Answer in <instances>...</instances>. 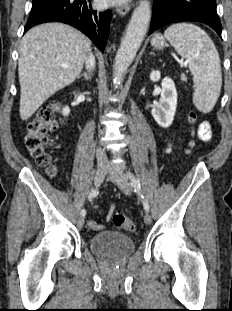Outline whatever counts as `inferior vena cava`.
<instances>
[{
    "instance_id": "1",
    "label": "inferior vena cava",
    "mask_w": 232,
    "mask_h": 311,
    "mask_svg": "<svg viewBox=\"0 0 232 311\" xmlns=\"http://www.w3.org/2000/svg\"><path fill=\"white\" fill-rule=\"evenodd\" d=\"M86 69L88 71H92L95 67V58L91 51L89 50L88 55L85 59ZM96 158H97V164L98 166H106L108 165V159L107 156L101 148H98L96 151Z\"/></svg>"
}]
</instances>
